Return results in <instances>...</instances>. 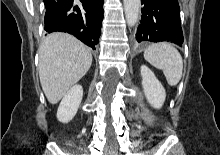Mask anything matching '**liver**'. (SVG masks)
I'll list each match as a JSON object with an SVG mask.
<instances>
[{"mask_svg":"<svg viewBox=\"0 0 220 155\" xmlns=\"http://www.w3.org/2000/svg\"><path fill=\"white\" fill-rule=\"evenodd\" d=\"M91 50L66 33L47 35L39 48V77L46 98L59 102L90 69Z\"/></svg>","mask_w":220,"mask_h":155,"instance_id":"6515ba94","label":"liver"}]
</instances>
